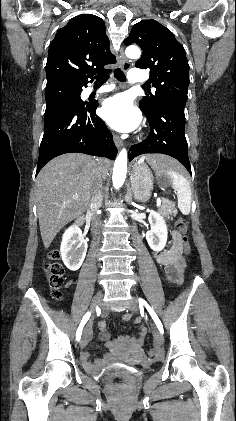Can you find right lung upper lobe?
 I'll list each match as a JSON object with an SVG mask.
<instances>
[{
    "instance_id": "right-lung-upper-lobe-1",
    "label": "right lung upper lobe",
    "mask_w": 236,
    "mask_h": 421,
    "mask_svg": "<svg viewBox=\"0 0 236 421\" xmlns=\"http://www.w3.org/2000/svg\"><path fill=\"white\" fill-rule=\"evenodd\" d=\"M116 63L110 52L103 20L91 14L71 19L50 44L46 64L47 85L81 88L94 74Z\"/></svg>"
}]
</instances>
